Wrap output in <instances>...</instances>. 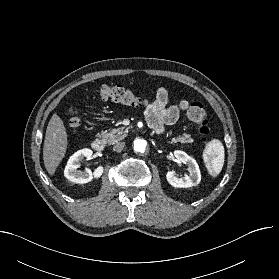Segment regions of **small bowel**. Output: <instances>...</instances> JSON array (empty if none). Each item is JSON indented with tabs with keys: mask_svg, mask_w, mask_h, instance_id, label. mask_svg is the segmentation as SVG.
Masks as SVG:
<instances>
[{
	"mask_svg": "<svg viewBox=\"0 0 279 279\" xmlns=\"http://www.w3.org/2000/svg\"><path fill=\"white\" fill-rule=\"evenodd\" d=\"M169 93L166 88H159L154 101L147 105L145 115L148 124L156 133H162L166 125L175 123L181 112L186 111L190 103L180 100L177 104L168 105Z\"/></svg>",
	"mask_w": 279,
	"mask_h": 279,
	"instance_id": "obj_1",
	"label": "small bowel"
}]
</instances>
